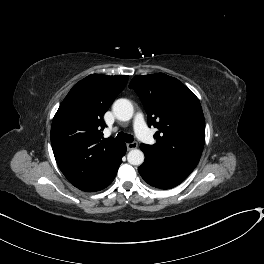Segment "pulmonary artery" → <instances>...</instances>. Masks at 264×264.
Here are the masks:
<instances>
[{
  "mask_svg": "<svg viewBox=\"0 0 264 264\" xmlns=\"http://www.w3.org/2000/svg\"><path fill=\"white\" fill-rule=\"evenodd\" d=\"M133 125L138 137L142 139L144 142H148L147 129H146L144 117L141 113H136L133 120Z\"/></svg>",
  "mask_w": 264,
  "mask_h": 264,
  "instance_id": "1",
  "label": "pulmonary artery"
}]
</instances>
